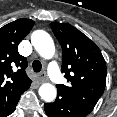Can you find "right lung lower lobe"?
Segmentation results:
<instances>
[{
    "label": "right lung lower lobe",
    "instance_id": "1",
    "mask_svg": "<svg viewBox=\"0 0 117 117\" xmlns=\"http://www.w3.org/2000/svg\"><path fill=\"white\" fill-rule=\"evenodd\" d=\"M17 103L7 112L3 117H7L8 115L12 114L16 108Z\"/></svg>",
    "mask_w": 117,
    "mask_h": 117
}]
</instances>
